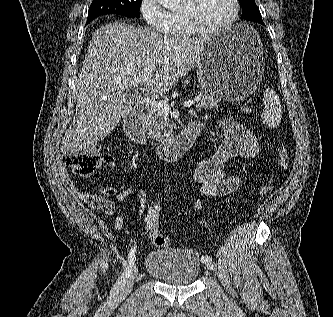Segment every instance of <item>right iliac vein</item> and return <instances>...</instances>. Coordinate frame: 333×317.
<instances>
[{"mask_svg": "<svg viewBox=\"0 0 333 317\" xmlns=\"http://www.w3.org/2000/svg\"><path fill=\"white\" fill-rule=\"evenodd\" d=\"M137 273H138V268H134L130 278L125 282V284L121 287L120 291L117 293L116 295L117 299H123L131 292Z\"/></svg>", "mask_w": 333, "mask_h": 317, "instance_id": "right-iliac-vein-1", "label": "right iliac vein"}]
</instances>
